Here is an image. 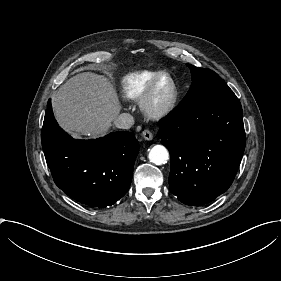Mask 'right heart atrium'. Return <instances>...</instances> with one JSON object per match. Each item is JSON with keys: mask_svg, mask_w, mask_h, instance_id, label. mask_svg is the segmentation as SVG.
I'll list each match as a JSON object with an SVG mask.
<instances>
[{"mask_svg": "<svg viewBox=\"0 0 281 281\" xmlns=\"http://www.w3.org/2000/svg\"><path fill=\"white\" fill-rule=\"evenodd\" d=\"M103 96L109 101L114 112L118 111L121 108V105L113 97L112 93L109 90H103Z\"/></svg>", "mask_w": 281, "mask_h": 281, "instance_id": "obj_1", "label": "right heart atrium"}]
</instances>
